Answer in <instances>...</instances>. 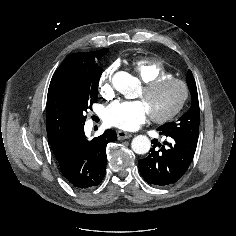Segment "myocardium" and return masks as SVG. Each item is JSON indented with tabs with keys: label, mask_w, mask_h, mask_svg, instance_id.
Masks as SVG:
<instances>
[{
	"label": "myocardium",
	"mask_w": 236,
	"mask_h": 236,
	"mask_svg": "<svg viewBox=\"0 0 236 236\" xmlns=\"http://www.w3.org/2000/svg\"><path fill=\"white\" fill-rule=\"evenodd\" d=\"M169 84H176L180 86L181 91H182L181 97L178 100V102L165 114L156 115V114L150 113L151 119L156 123H166L168 121H171L181 112L189 96L188 85L185 81L176 77H163V78L153 80L149 83H146L143 86L144 94L150 95L154 93L155 91L159 90L160 88Z\"/></svg>",
	"instance_id": "myocardium-1"
}]
</instances>
